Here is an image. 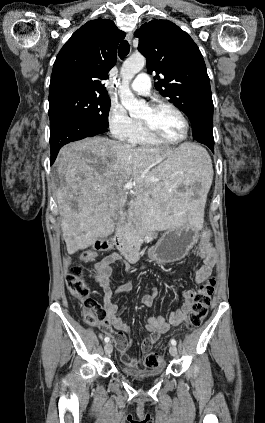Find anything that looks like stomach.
I'll use <instances>...</instances> for the list:
<instances>
[{
  "label": "stomach",
  "instance_id": "1",
  "mask_svg": "<svg viewBox=\"0 0 265 423\" xmlns=\"http://www.w3.org/2000/svg\"><path fill=\"white\" fill-rule=\"evenodd\" d=\"M203 153L208 160L207 152L203 150ZM198 237V228L189 222L175 229H168L160 240L149 249L148 256L158 263L181 260L197 243Z\"/></svg>",
  "mask_w": 265,
  "mask_h": 423
}]
</instances>
